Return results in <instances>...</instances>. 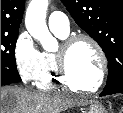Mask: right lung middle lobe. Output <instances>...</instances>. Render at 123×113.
<instances>
[{
    "label": "right lung middle lobe",
    "mask_w": 123,
    "mask_h": 113,
    "mask_svg": "<svg viewBox=\"0 0 123 113\" xmlns=\"http://www.w3.org/2000/svg\"><path fill=\"white\" fill-rule=\"evenodd\" d=\"M17 37L18 32L1 33V85L21 81L15 61Z\"/></svg>",
    "instance_id": "right-lung-middle-lobe-1"
}]
</instances>
